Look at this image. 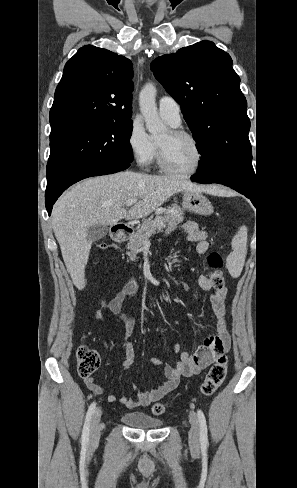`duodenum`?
Masks as SVG:
<instances>
[{
	"label": "duodenum",
	"instance_id": "410a0bca",
	"mask_svg": "<svg viewBox=\"0 0 297 488\" xmlns=\"http://www.w3.org/2000/svg\"><path fill=\"white\" fill-rule=\"evenodd\" d=\"M131 234V229L124 224H115L111 227V237L116 242L126 241Z\"/></svg>",
	"mask_w": 297,
	"mask_h": 488
}]
</instances>
